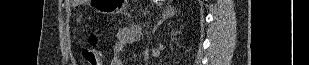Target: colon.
I'll use <instances>...</instances> for the list:
<instances>
[{"instance_id": "obj_1", "label": "colon", "mask_w": 309, "mask_h": 65, "mask_svg": "<svg viewBox=\"0 0 309 65\" xmlns=\"http://www.w3.org/2000/svg\"><path fill=\"white\" fill-rule=\"evenodd\" d=\"M102 33L95 32L90 35L88 45L82 50V55L89 65H102L103 57L99 49V43Z\"/></svg>"}]
</instances>
